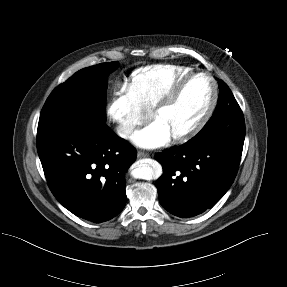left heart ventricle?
<instances>
[{"label":"left heart ventricle","instance_id":"1","mask_svg":"<svg viewBox=\"0 0 287 287\" xmlns=\"http://www.w3.org/2000/svg\"><path fill=\"white\" fill-rule=\"evenodd\" d=\"M211 98V84L205 77H196L186 84L175 102L161 111L155 120L163 123L170 134L190 127L205 111Z\"/></svg>","mask_w":287,"mask_h":287}]
</instances>
